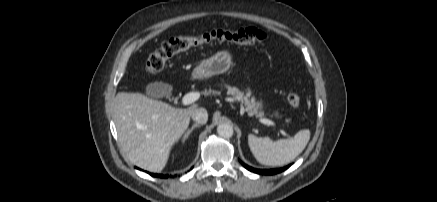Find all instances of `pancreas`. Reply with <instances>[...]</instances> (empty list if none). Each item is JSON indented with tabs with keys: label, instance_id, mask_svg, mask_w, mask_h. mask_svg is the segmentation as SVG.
<instances>
[{
	"label": "pancreas",
	"instance_id": "1",
	"mask_svg": "<svg viewBox=\"0 0 437 202\" xmlns=\"http://www.w3.org/2000/svg\"><path fill=\"white\" fill-rule=\"evenodd\" d=\"M226 88L228 95H230L234 100L244 103L246 106V111L249 115H256L259 117L263 116V112L259 110L262 107V103L256 102L254 97L250 98V91L244 94V92L240 91L236 87H230L226 85Z\"/></svg>",
	"mask_w": 437,
	"mask_h": 202
}]
</instances>
